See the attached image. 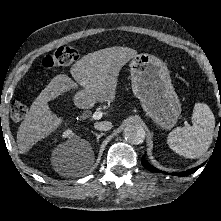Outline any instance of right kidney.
I'll return each mask as SVG.
<instances>
[{
  "instance_id": "ca27d5eb",
  "label": "right kidney",
  "mask_w": 221,
  "mask_h": 221,
  "mask_svg": "<svg viewBox=\"0 0 221 221\" xmlns=\"http://www.w3.org/2000/svg\"><path fill=\"white\" fill-rule=\"evenodd\" d=\"M62 137H64V138H72V137H74V133L71 130H65L62 133Z\"/></svg>"
}]
</instances>
